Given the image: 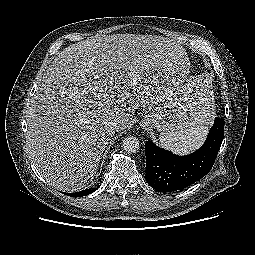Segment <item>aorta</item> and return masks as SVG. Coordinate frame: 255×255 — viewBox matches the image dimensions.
Here are the masks:
<instances>
[{
  "mask_svg": "<svg viewBox=\"0 0 255 255\" xmlns=\"http://www.w3.org/2000/svg\"><path fill=\"white\" fill-rule=\"evenodd\" d=\"M139 141L136 137H126L122 142V147L127 153H135L139 149Z\"/></svg>",
  "mask_w": 255,
  "mask_h": 255,
  "instance_id": "1",
  "label": "aorta"
}]
</instances>
